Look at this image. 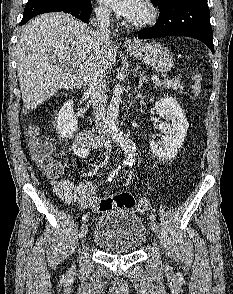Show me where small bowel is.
Returning <instances> with one entry per match:
<instances>
[{
    "instance_id": "1",
    "label": "small bowel",
    "mask_w": 233,
    "mask_h": 294,
    "mask_svg": "<svg viewBox=\"0 0 233 294\" xmlns=\"http://www.w3.org/2000/svg\"><path fill=\"white\" fill-rule=\"evenodd\" d=\"M90 146L86 145L78 136L76 141L69 147V152L76 157L86 158L89 155ZM54 192L64 202L75 203L79 208L91 207L93 200H99L94 197L95 185L92 182H81L77 185L70 180L61 179L54 183Z\"/></svg>"
}]
</instances>
